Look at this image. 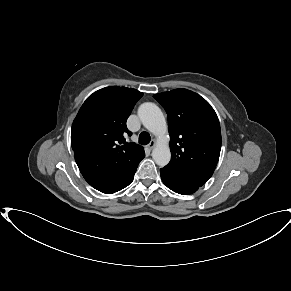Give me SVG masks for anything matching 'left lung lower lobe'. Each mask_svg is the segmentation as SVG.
<instances>
[{
  "mask_svg": "<svg viewBox=\"0 0 291 291\" xmlns=\"http://www.w3.org/2000/svg\"><path fill=\"white\" fill-rule=\"evenodd\" d=\"M161 179L164 184L176 193L188 195L196 192L201 185L187 180L167 168L160 169Z\"/></svg>",
  "mask_w": 291,
  "mask_h": 291,
  "instance_id": "obj_1",
  "label": "left lung lower lobe"
}]
</instances>
